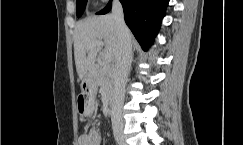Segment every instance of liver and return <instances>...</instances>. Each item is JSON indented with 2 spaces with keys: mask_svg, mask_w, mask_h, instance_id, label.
Masks as SVG:
<instances>
[{
  "mask_svg": "<svg viewBox=\"0 0 243 145\" xmlns=\"http://www.w3.org/2000/svg\"><path fill=\"white\" fill-rule=\"evenodd\" d=\"M95 41H102L105 51L116 60L119 40L116 22L112 14L90 16L79 21L74 30V57L79 78L84 81L88 72L95 69L100 47H90Z\"/></svg>",
  "mask_w": 243,
  "mask_h": 145,
  "instance_id": "liver-1",
  "label": "liver"
}]
</instances>
